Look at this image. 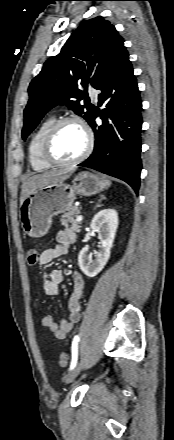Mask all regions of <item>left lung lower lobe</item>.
<instances>
[{
  "instance_id": "1",
  "label": "left lung lower lobe",
  "mask_w": 174,
  "mask_h": 440,
  "mask_svg": "<svg viewBox=\"0 0 174 440\" xmlns=\"http://www.w3.org/2000/svg\"><path fill=\"white\" fill-rule=\"evenodd\" d=\"M101 113L94 109L88 123L95 134L92 155L79 166L127 182L135 192L140 186L142 103L129 54L124 48L104 72L99 85ZM100 115L102 125L95 123Z\"/></svg>"
}]
</instances>
